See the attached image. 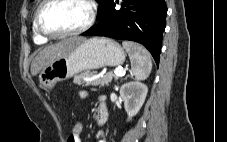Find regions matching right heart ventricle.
<instances>
[{
	"label": "right heart ventricle",
	"mask_w": 227,
	"mask_h": 142,
	"mask_svg": "<svg viewBox=\"0 0 227 142\" xmlns=\"http://www.w3.org/2000/svg\"><path fill=\"white\" fill-rule=\"evenodd\" d=\"M37 12V10H36ZM36 12L34 14V17H33V21H32V28H33V36H34V41L36 43H39V44H42V43H45L47 41V38L40 35L38 33V31L36 30V24H35V15H36Z\"/></svg>",
	"instance_id": "obj_1"
}]
</instances>
